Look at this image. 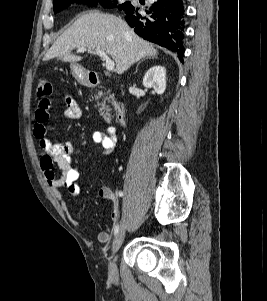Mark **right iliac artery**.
<instances>
[{
	"label": "right iliac artery",
	"mask_w": 267,
	"mask_h": 301,
	"mask_svg": "<svg viewBox=\"0 0 267 301\" xmlns=\"http://www.w3.org/2000/svg\"><path fill=\"white\" fill-rule=\"evenodd\" d=\"M118 195H119L120 197H122V196H123V192H122V191H119V192H118ZM118 231H119V225L117 224V225H116V228H115V232H114L115 235L118 233Z\"/></svg>",
	"instance_id": "obj_1"
}]
</instances>
